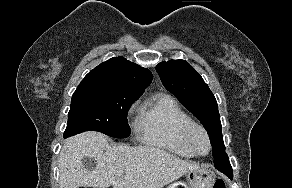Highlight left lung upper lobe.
<instances>
[{"mask_svg": "<svg viewBox=\"0 0 292 188\" xmlns=\"http://www.w3.org/2000/svg\"><path fill=\"white\" fill-rule=\"evenodd\" d=\"M156 71L165 88L173 93L203 124L212 144L214 164L222 165L228 156L224 151L218 105L208 85L185 60L160 62L156 66ZM224 169L232 170L228 166Z\"/></svg>", "mask_w": 292, "mask_h": 188, "instance_id": "1", "label": "left lung upper lobe"}]
</instances>
